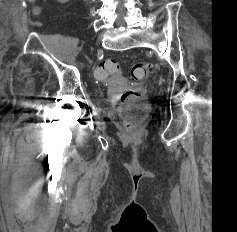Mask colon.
<instances>
[{
	"instance_id": "obj_1",
	"label": "colon",
	"mask_w": 237,
	"mask_h": 232,
	"mask_svg": "<svg viewBox=\"0 0 237 232\" xmlns=\"http://www.w3.org/2000/svg\"><path fill=\"white\" fill-rule=\"evenodd\" d=\"M150 65L147 62H137L131 69L132 80L141 81L148 77ZM118 63L112 59L99 62L96 75L104 79L109 76L121 75ZM146 91L143 88H135L125 92L121 98L119 114L123 126L129 131H137L144 124L148 114Z\"/></svg>"
}]
</instances>
